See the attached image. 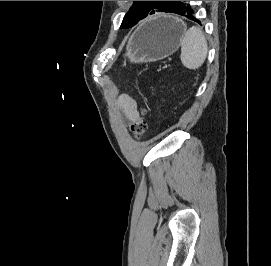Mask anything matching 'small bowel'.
<instances>
[{
	"label": "small bowel",
	"mask_w": 271,
	"mask_h": 266,
	"mask_svg": "<svg viewBox=\"0 0 271 266\" xmlns=\"http://www.w3.org/2000/svg\"><path fill=\"white\" fill-rule=\"evenodd\" d=\"M119 104L129 120L134 121L138 118L139 115L134 100L127 96H122L119 100Z\"/></svg>",
	"instance_id": "obj_1"
}]
</instances>
